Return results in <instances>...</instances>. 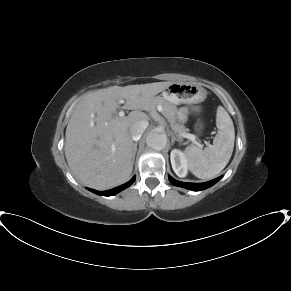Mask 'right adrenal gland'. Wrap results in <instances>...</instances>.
Segmentation results:
<instances>
[{"label": "right adrenal gland", "instance_id": "right-adrenal-gland-1", "mask_svg": "<svg viewBox=\"0 0 291 291\" xmlns=\"http://www.w3.org/2000/svg\"><path fill=\"white\" fill-rule=\"evenodd\" d=\"M137 145L138 143H134V154H133V161H134V158H135V155H136V152H137Z\"/></svg>", "mask_w": 291, "mask_h": 291}]
</instances>
